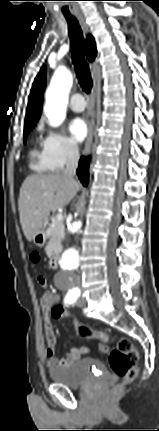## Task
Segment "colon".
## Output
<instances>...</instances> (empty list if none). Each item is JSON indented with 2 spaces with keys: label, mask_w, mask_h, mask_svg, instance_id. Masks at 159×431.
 I'll return each instance as SVG.
<instances>
[{
  "label": "colon",
  "mask_w": 159,
  "mask_h": 431,
  "mask_svg": "<svg viewBox=\"0 0 159 431\" xmlns=\"http://www.w3.org/2000/svg\"><path fill=\"white\" fill-rule=\"evenodd\" d=\"M56 291L50 290L47 298L48 307L52 309V322H61L64 319L67 324H74L76 333L83 339H97L102 344L100 346V354L107 355L109 365L113 372L121 379V383L115 386L111 395L117 396L124 385L131 383L138 373V353L133 343L124 337L117 338L102 330H94L88 324L79 322V318H75L76 312L67 308L62 301H56ZM112 343L110 347L108 344Z\"/></svg>",
  "instance_id": "5ec220e1"
}]
</instances>
